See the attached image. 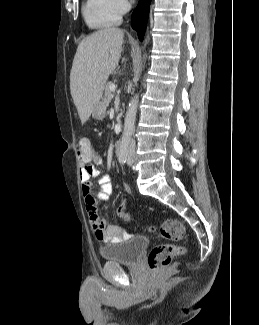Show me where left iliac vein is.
Instances as JSON below:
<instances>
[{"instance_id":"4c4485c4","label":"left iliac vein","mask_w":259,"mask_h":325,"mask_svg":"<svg viewBox=\"0 0 259 325\" xmlns=\"http://www.w3.org/2000/svg\"><path fill=\"white\" fill-rule=\"evenodd\" d=\"M133 163V153L132 151H129L128 156H127V164L132 165Z\"/></svg>"}]
</instances>
